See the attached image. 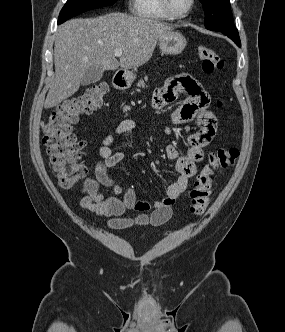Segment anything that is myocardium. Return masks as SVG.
I'll return each instance as SVG.
<instances>
[{
	"label": "myocardium",
	"instance_id": "1",
	"mask_svg": "<svg viewBox=\"0 0 285 332\" xmlns=\"http://www.w3.org/2000/svg\"><path fill=\"white\" fill-rule=\"evenodd\" d=\"M161 1V5L164 9V11L172 18V19H177V20H181L186 18L187 16H189V14L192 12V10L195 7L196 4V0H190V5L188 7V9L184 12V13H177L174 11V9L172 8L171 2L170 0H160Z\"/></svg>",
	"mask_w": 285,
	"mask_h": 332
}]
</instances>
